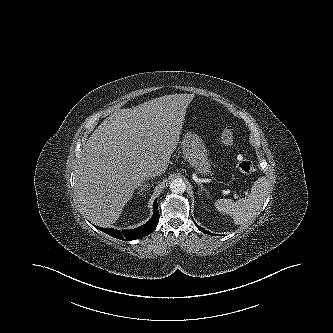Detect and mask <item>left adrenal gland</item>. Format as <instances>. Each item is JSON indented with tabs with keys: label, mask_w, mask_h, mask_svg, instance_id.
Masks as SVG:
<instances>
[{
	"label": "left adrenal gland",
	"mask_w": 333,
	"mask_h": 333,
	"mask_svg": "<svg viewBox=\"0 0 333 333\" xmlns=\"http://www.w3.org/2000/svg\"><path fill=\"white\" fill-rule=\"evenodd\" d=\"M198 185H199V191L198 192L205 191L207 194H209L208 190L204 188L203 184L198 183Z\"/></svg>",
	"instance_id": "1"
}]
</instances>
